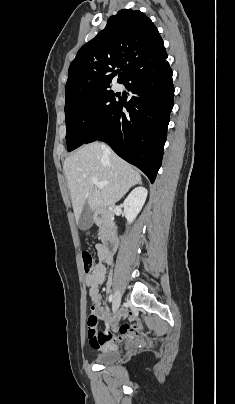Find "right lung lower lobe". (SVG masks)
Here are the masks:
<instances>
[{
  "mask_svg": "<svg viewBox=\"0 0 235 404\" xmlns=\"http://www.w3.org/2000/svg\"><path fill=\"white\" fill-rule=\"evenodd\" d=\"M162 60L131 74L123 84L133 94L114 106L85 143L107 142L114 152L141 169L153 183L161 166L173 107L172 70ZM125 107L129 114L122 112Z\"/></svg>",
  "mask_w": 235,
  "mask_h": 404,
  "instance_id": "98d812e1",
  "label": "right lung lower lobe"
}]
</instances>
